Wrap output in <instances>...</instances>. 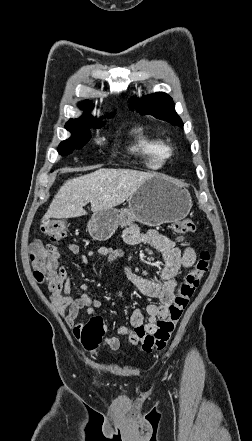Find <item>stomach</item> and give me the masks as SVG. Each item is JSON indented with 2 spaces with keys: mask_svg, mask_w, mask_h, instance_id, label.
Masks as SVG:
<instances>
[{
  "mask_svg": "<svg viewBox=\"0 0 252 441\" xmlns=\"http://www.w3.org/2000/svg\"><path fill=\"white\" fill-rule=\"evenodd\" d=\"M191 206L190 194L184 187L169 177L154 175L129 197L128 207L94 213L87 230L93 239L104 241L118 226L124 227L133 221L148 226L180 221L188 215Z\"/></svg>",
  "mask_w": 252,
  "mask_h": 441,
  "instance_id": "obj_1",
  "label": "stomach"
}]
</instances>
